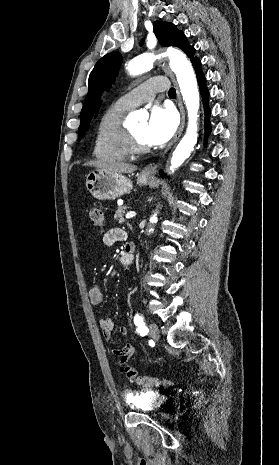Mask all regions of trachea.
I'll return each mask as SVG.
<instances>
[{
    "mask_svg": "<svg viewBox=\"0 0 279 465\" xmlns=\"http://www.w3.org/2000/svg\"><path fill=\"white\" fill-rule=\"evenodd\" d=\"M169 97H176V91L174 88H171L168 92Z\"/></svg>",
    "mask_w": 279,
    "mask_h": 465,
    "instance_id": "trachea-1",
    "label": "trachea"
}]
</instances>
